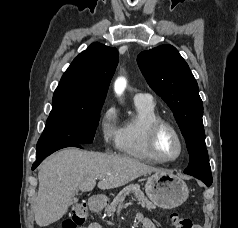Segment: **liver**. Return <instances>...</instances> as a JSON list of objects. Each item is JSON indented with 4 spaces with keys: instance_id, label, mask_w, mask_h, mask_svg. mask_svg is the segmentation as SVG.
Returning a JSON list of instances; mask_svg holds the SVG:
<instances>
[{
    "instance_id": "obj_1",
    "label": "liver",
    "mask_w": 238,
    "mask_h": 228,
    "mask_svg": "<svg viewBox=\"0 0 238 228\" xmlns=\"http://www.w3.org/2000/svg\"><path fill=\"white\" fill-rule=\"evenodd\" d=\"M162 171L128 156L63 149L47 158L40 167L34 205L36 224L44 227L61 219L68 207L77 201L78 191L93 190L97 178L100 179L98 188L105 190Z\"/></svg>"
}]
</instances>
